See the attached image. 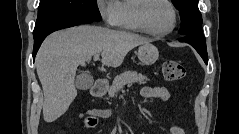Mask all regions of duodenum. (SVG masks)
Returning a JSON list of instances; mask_svg holds the SVG:
<instances>
[{
    "mask_svg": "<svg viewBox=\"0 0 239 134\" xmlns=\"http://www.w3.org/2000/svg\"><path fill=\"white\" fill-rule=\"evenodd\" d=\"M106 87L105 80L101 77H97L91 88V94L95 97H99L104 93Z\"/></svg>",
    "mask_w": 239,
    "mask_h": 134,
    "instance_id": "obj_1",
    "label": "duodenum"
}]
</instances>
